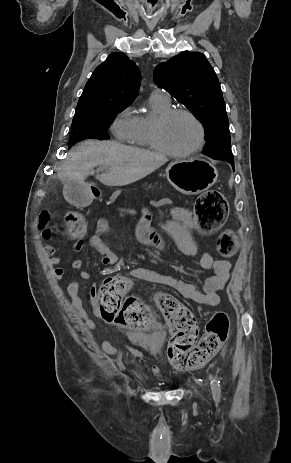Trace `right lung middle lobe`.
Masks as SVG:
<instances>
[{
    "label": "right lung middle lobe",
    "instance_id": "right-lung-middle-lobe-1",
    "mask_svg": "<svg viewBox=\"0 0 291 463\" xmlns=\"http://www.w3.org/2000/svg\"><path fill=\"white\" fill-rule=\"evenodd\" d=\"M131 103L106 102L94 111L74 115L68 146L85 139H108L110 124L117 113L123 111Z\"/></svg>",
    "mask_w": 291,
    "mask_h": 463
}]
</instances>
